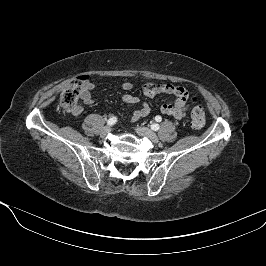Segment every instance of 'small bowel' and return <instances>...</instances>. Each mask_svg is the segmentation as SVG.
Masks as SVG:
<instances>
[{
  "instance_id": "obj_1",
  "label": "small bowel",
  "mask_w": 266,
  "mask_h": 266,
  "mask_svg": "<svg viewBox=\"0 0 266 266\" xmlns=\"http://www.w3.org/2000/svg\"><path fill=\"white\" fill-rule=\"evenodd\" d=\"M118 88L124 91H130L133 88V84L130 82H123ZM95 90V85L89 80L85 79L81 86L80 97L84 104L91 105L94 102L93 91ZM143 93L147 97H154L158 94H170L175 97L174 101L171 103H164L160 107L161 113L174 117L175 119H182L186 115L189 101V92L183 86L165 84V83H147L143 87ZM122 100L126 104L134 105L139 102V99L131 94H125ZM151 112V106L148 102H143L141 106L136 109L132 115V121H137L140 118L147 116ZM73 115L77 116L82 113V108L77 106V108L71 112Z\"/></svg>"
}]
</instances>
